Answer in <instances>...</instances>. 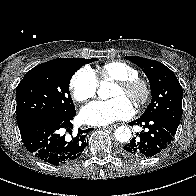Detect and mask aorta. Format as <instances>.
I'll return each instance as SVG.
<instances>
[{"instance_id": "obj_1", "label": "aorta", "mask_w": 196, "mask_h": 196, "mask_svg": "<svg viewBox=\"0 0 196 196\" xmlns=\"http://www.w3.org/2000/svg\"><path fill=\"white\" fill-rule=\"evenodd\" d=\"M111 86V82H108L107 80H102L100 82V87L97 91L98 96L103 100L112 97V94L110 92ZM114 136L119 142H128L131 138V130L127 126H120L115 130Z\"/></svg>"}]
</instances>
